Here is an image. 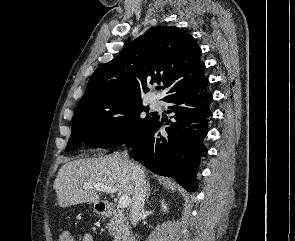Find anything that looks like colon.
<instances>
[{"label":"colon","mask_w":295,"mask_h":241,"mask_svg":"<svg viewBox=\"0 0 295 241\" xmlns=\"http://www.w3.org/2000/svg\"><path fill=\"white\" fill-rule=\"evenodd\" d=\"M60 241H74L72 235L68 232H63L60 235Z\"/></svg>","instance_id":"5ec220e1"}]
</instances>
